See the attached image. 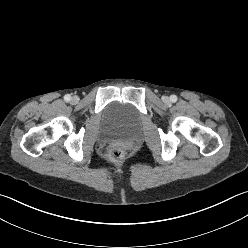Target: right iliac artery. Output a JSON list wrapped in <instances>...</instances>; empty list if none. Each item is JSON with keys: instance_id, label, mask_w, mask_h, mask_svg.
<instances>
[{"instance_id": "1", "label": "right iliac artery", "mask_w": 248, "mask_h": 248, "mask_svg": "<svg viewBox=\"0 0 248 248\" xmlns=\"http://www.w3.org/2000/svg\"><path fill=\"white\" fill-rule=\"evenodd\" d=\"M64 100H65L66 102H69V101L71 100V96H70L69 94L65 95V96H64Z\"/></svg>"}]
</instances>
